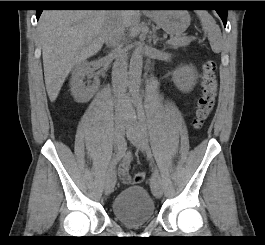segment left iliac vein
<instances>
[{
    "label": "left iliac vein",
    "mask_w": 265,
    "mask_h": 245,
    "mask_svg": "<svg viewBox=\"0 0 265 245\" xmlns=\"http://www.w3.org/2000/svg\"><path fill=\"white\" fill-rule=\"evenodd\" d=\"M126 136L136 148L146 154L149 153L147 135L140 123L135 120L129 121L127 124ZM151 189L156 198L162 197L161 179L157 173H154L151 177Z\"/></svg>",
    "instance_id": "4c4485c4"
}]
</instances>
